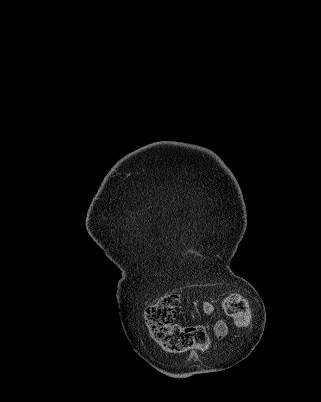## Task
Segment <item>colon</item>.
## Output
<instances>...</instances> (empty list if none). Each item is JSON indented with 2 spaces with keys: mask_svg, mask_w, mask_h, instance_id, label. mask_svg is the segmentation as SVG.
Listing matches in <instances>:
<instances>
[{
  "mask_svg": "<svg viewBox=\"0 0 321 402\" xmlns=\"http://www.w3.org/2000/svg\"><path fill=\"white\" fill-rule=\"evenodd\" d=\"M178 305L179 296L170 293L147 307L144 320L151 339L169 353L209 350L213 345V340L204 326L174 323ZM223 309L239 327L243 328L248 325L250 308L242 295L238 293L227 295L223 300Z\"/></svg>",
  "mask_w": 321,
  "mask_h": 402,
  "instance_id": "1",
  "label": "colon"
}]
</instances>
